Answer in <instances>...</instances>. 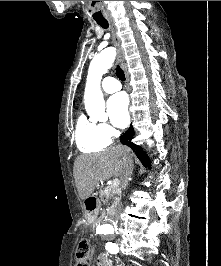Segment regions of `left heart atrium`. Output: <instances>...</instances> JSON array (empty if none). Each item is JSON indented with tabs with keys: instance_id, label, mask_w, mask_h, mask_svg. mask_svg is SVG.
<instances>
[{
	"instance_id": "left-heart-atrium-1",
	"label": "left heart atrium",
	"mask_w": 221,
	"mask_h": 266,
	"mask_svg": "<svg viewBox=\"0 0 221 266\" xmlns=\"http://www.w3.org/2000/svg\"><path fill=\"white\" fill-rule=\"evenodd\" d=\"M128 98L125 93H117L107 101V112L112 124L124 128L129 122Z\"/></svg>"
}]
</instances>
